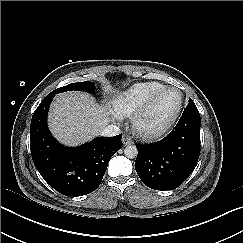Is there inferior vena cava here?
I'll list each match as a JSON object with an SVG mask.
<instances>
[{
	"instance_id": "obj_1",
	"label": "inferior vena cava",
	"mask_w": 243,
	"mask_h": 243,
	"mask_svg": "<svg viewBox=\"0 0 243 243\" xmlns=\"http://www.w3.org/2000/svg\"><path fill=\"white\" fill-rule=\"evenodd\" d=\"M120 133V129L118 126L111 124L106 126L102 132L101 135L104 137H111V136H116Z\"/></svg>"
}]
</instances>
